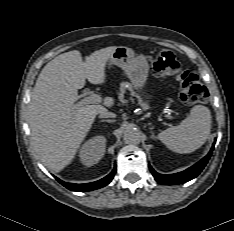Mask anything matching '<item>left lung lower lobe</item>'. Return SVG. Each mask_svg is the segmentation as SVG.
Instances as JSON below:
<instances>
[{
	"instance_id": "1",
	"label": "left lung lower lobe",
	"mask_w": 234,
	"mask_h": 231,
	"mask_svg": "<svg viewBox=\"0 0 234 231\" xmlns=\"http://www.w3.org/2000/svg\"><path fill=\"white\" fill-rule=\"evenodd\" d=\"M213 149H214V145L212 146L207 156H205L202 160H200L198 163H196L192 167L179 173L163 175L154 171V169L150 165H149V168L155 180L161 184L176 185V184L185 183L187 181L192 180L193 178L197 177L200 174V172L203 170L208 160L210 159Z\"/></svg>"
}]
</instances>
